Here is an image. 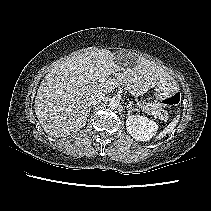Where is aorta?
Instances as JSON below:
<instances>
[{
  "label": "aorta",
  "instance_id": "762f6f07",
  "mask_svg": "<svg viewBox=\"0 0 211 211\" xmlns=\"http://www.w3.org/2000/svg\"><path fill=\"white\" fill-rule=\"evenodd\" d=\"M119 106V100L115 97L110 98L108 101V107L110 109H116Z\"/></svg>",
  "mask_w": 211,
  "mask_h": 211
}]
</instances>
